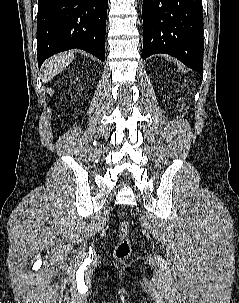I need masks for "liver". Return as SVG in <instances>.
<instances>
[{"label": "liver", "mask_w": 239, "mask_h": 303, "mask_svg": "<svg viewBox=\"0 0 239 303\" xmlns=\"http://www.w3.org/2000/svg\"><path fill=\"white\" fill-rule=\"evenodd\" d=\"M74 59V52H66L49 58L43 65L42 81H50L58 73L64 70Z\"/></svg>", "instance_id": "6515ba94"}]
</instances>
